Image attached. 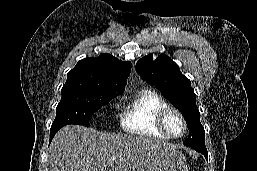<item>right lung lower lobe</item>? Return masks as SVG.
Returning <instances> with one entry per match:
<instances>
[{"instance_id":"obj_1","label":"right lung lower lobe","mask_w":257,"mask_h":171,"mask_svg":"<svg viewBox=\"0 0 257 171\" xmlns=\"http://www.w3.org/2000/svg\"><path fill=\"white\" fill-rule=\"evenodd\" d=\"M62 127H51L50 129V142L52 141V138L55 136V134L58 132V130Z\"/></svg>"}]
</instances>
